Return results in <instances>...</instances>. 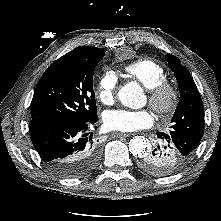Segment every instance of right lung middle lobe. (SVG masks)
Segmentation results:
<instances>
[{"label": "right lung middle lobe", "mask_w": 221, "mask_h": 221, "mask_svg": "<svg viewBox=\"0 0 221 221\" xmlns=\"http://www.w3.org/2000/svg\"><path fill=\"white\" fill-rule=\"evenodd\" d=\"M104 53L62 56L53 62L36 86L32 120L85 123L97 117L93 74Z\"/></svg>", "instance_id": "obj_1"}]
</instances>
